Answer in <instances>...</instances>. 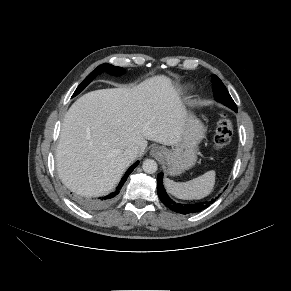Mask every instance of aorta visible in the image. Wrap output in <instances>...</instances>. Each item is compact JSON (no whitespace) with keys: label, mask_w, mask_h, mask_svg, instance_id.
I'll return each mask as SVG.
<instances>
[{"label":"aorta","mask_w":291,"mask_h":291,"mask_svg":"<svg viewBox=\"0 0 291 291\" xmlns=\"http://www.w3.org/2000/svg\"><path fill=\"white\" fill-rule=\"evenodd\" d=\"M142 168H143L144 172H146L148 174H153L157 171L158 165H157L155 160L146 159L142 164Z\"/></svg>","instance_id":"1"}]
</instances>
